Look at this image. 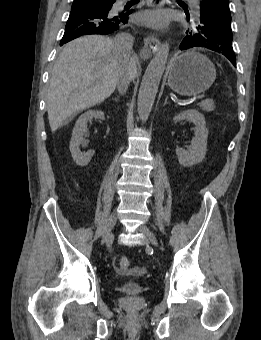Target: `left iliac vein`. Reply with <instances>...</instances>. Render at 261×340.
<instances>
[{"instance_id": "left-iliac-vein-1", "label": "left iliac vein", "mask_w": 261, "mask_h": 340, "mask_svg": "<svg viewBox=\"0 0 261 340\" xmlns=\"http://www.w3.org/2000/svg\"><path fill=\"white\" fill-rule=\"evenodd\" d=\"M138 231L142 233L151 242L153 246L155 247L158 246V241H157L156 236L146 225H140L138 227Z\"/></svg>"}]
</instances>
